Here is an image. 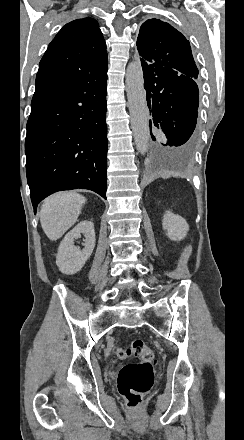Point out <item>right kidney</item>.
<instances>
[{
	"mask_svg": "<svg viewBox=\"0 0 244 440\" xmlns=\"http://www.w3.org/2000/svg\"><path fill=\"white\" fill-rule=\"evenodd\" d=\"M81 234L85 236V248L78 250L73 246L75 238H81ZM95 248V232L93 222H80L71 232L66 234L62 240L58 254L56 256V264L62 274H76L83 268L85 262L90 258Z\"/></svg>",
	"mask_w": 244,
	"mask_h": 440,
	"instance_id": "right-kidney-1",
	"label": "right kidney"
}]
</instances>
